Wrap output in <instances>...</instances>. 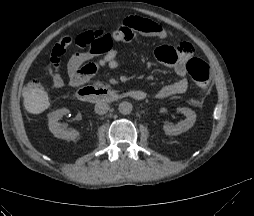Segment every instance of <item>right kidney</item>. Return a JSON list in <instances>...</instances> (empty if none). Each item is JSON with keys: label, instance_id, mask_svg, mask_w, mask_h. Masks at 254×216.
I'll use <instances>...</instances> for the list:
<instances>
[{"label": "right kidney", "instance_id": "1", "mask_svg": "<svg viewBox=\"0 0 254 216\" xmlns=\"http://www.w3.org/2000/svg\"><path fill=\"white\" fill-rule=\"evenodd\" d=\"M69 113L67 108L58 109L54 112H51L48 115V126L49 130L53 135L59 139L74 140L79 136V132L75 130L65 131L62 128V125L58 120L63 116Z\"/></svg>", "mask_w": 254, "mask_h": 216}]
</instances>
